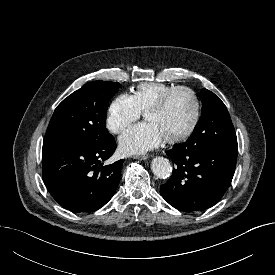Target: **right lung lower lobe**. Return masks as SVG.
I'll list each match as a JSON object with an SVG mask.
<instances>
[{"mask_svg":"<svg viewBox=\"0 0 275 275\" xmlns=\"http://www.w3.org/2000/svg\"><path fill=\"white\" fill-rule=\"evenodd\" d=\"M116 149L111 136L94 145H43L42 177L47 190L62 207L73 212H92L104 206L118 187L124 160L103 161Z\"/></svg>","mask_w":275,"mask_h":275,"instance_id":"1","label":"right lung lower lobe"}]
</instances>
